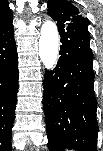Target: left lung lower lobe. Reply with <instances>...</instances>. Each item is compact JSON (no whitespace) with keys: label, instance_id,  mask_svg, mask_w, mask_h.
Here are the masks:
<instances>
[{"label":"left lung lower lobe","instance_id":"1","mask_svg":"<svg viewBox=\"0 0 103 151\" xmlns=\"http://www.w3.org/2000/svg\"><path fill=\"white\" fill-rule=\"evenodd\" d=\"M60 58L45 73L44 111L50 151H97L98 124L94 94L93 53L87 27L59 30Z\"/></svg>","mask_w":103,"mask_h":151}]
</instances>
